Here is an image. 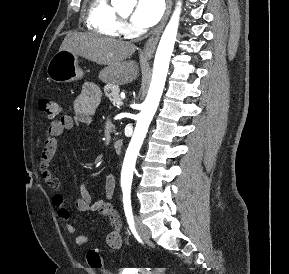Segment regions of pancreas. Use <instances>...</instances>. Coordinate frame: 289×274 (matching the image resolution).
Listing matches in <instances>:
<instances>
[{
    "label": "pancreas",
    "instance_id": "pancreas-1",
    "mask_svg": "<svg viewBox=\"0 0 289 274\" xmlns=\"http://www.w3.org/2000/svg\"><path fill=\"white\" fill-rule=\"evenodd\" d=\"M104 91L111 102H115L119 98L120 89L118 85H108L105 87Z\"/></svg>",
    "mask_w": 289,
    "mask_h": 274
}]
</instances>
